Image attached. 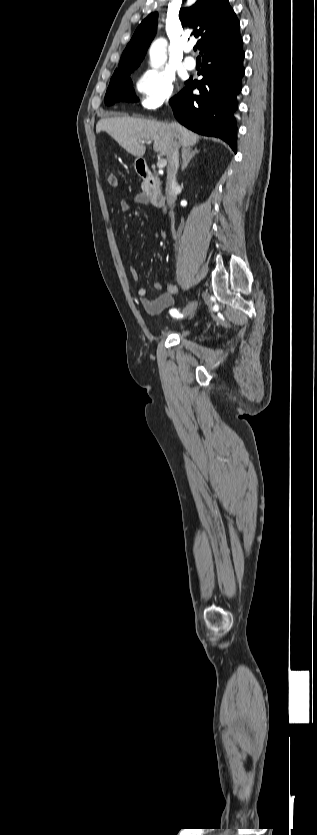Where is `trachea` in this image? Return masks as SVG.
Masks as SVG:
<instances>
[{
    "mask_svg": "<svg viewBox=\"0 0 317 835\" xmlns=\"http://www.w3.org/2000/svg\"><path fill=\"white\" fill-rule=\"evenodd\" d=\"M196 50H197V46H194V51H196Z\"/></svg>",
    "mask_w": 317,
    "mask_h": 835,
    "instance_id": "1",
    "label": "trachea"
}]
</instances>
